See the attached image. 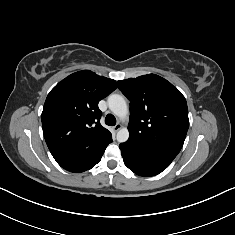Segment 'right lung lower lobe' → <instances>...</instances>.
<instances>
[{
  "instance_id": "right-lung-lower-lobe-1",
  "label": "right lung lower lobe",
  "mask_w": 235,
  "mask_h": 235,
  "mask_svg": "<svg viewBox=\"0 0 235 235\" xmlns=\"http://www.w3.org/2000/svg\"><path fill=\"white\" fill-rule=\"evenodd\" d=\"M112 142V139L108 141L100 150H98L95 153L88 154L86 156H83L79 159L71 160V161H65V162H59V165L64 168L67 171L70 172H84L86 170H89L93 166H95L97 163L100 162L101 157L108 146L109 143Z\"/></svg>"
}]
</instances>
